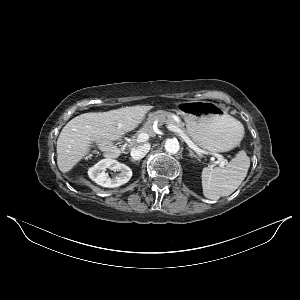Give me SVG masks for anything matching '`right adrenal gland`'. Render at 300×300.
Wrapping results in <instances>:
<instances>
[{
    "mask_svg": "<svg viewBox=\"0 0 300 300\" xmlns=\"http://www.w3.org/2000/svg\"><path fill=\"white\" fill-rule=\"evenodd\" d=\"M130 161L134 162V163H138L136 160L132 159V158H129Z\"/></svg>",
    "mask_w": 300,
    "mask_h": 300,
    "instance_id": "2a0ac1e0",
    "label": "right adrenal gland"
}]
</instances>
